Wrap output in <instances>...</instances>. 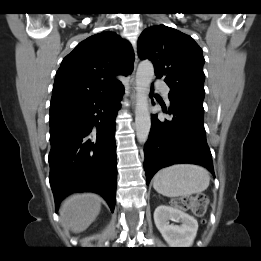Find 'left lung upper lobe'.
Returning a JSON list of instances; mask_svg holds the SVG:
<instances>
[{"mask_svg": "<svg viewBox=\"0 0 261 261\" xmlns=\"http://www.w3.org/2000/svg\"><path fill=\"white\" fill-rule=\"evenodd\" d=\"M138 55L152 61L156 78L171 89L169 98L183 96L203 104L205 60L192 37L165 25L152 26L139 37Z\"/></svg>", "mask_w": 261, "mask_h": 261, "instance_id": "obj_1", "label": "left lung upper lobe"}]
</instances>
